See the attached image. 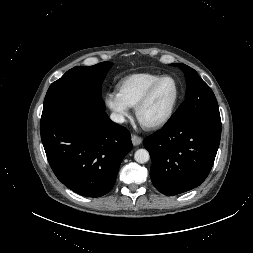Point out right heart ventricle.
<instances>
[{
  "mask_svg": "<svg viewBox=\"0 0 253 253\" xmlns=\"http://www.w3.org/2000/svg\"><path fill=\"white\" fill-rule=\"evenodd\" d=\"M161 76L155 73L128 75L117 83L116 95L128 108H134L148 88Z\"/></svg>",
  "mask_w": 253,
  "mask_h": 253,
  "instance_id": "right-heart-ventricle-1",
  "label": "right heart ventricle"
}]
</instances>
